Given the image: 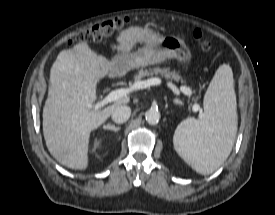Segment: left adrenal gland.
I'll return each mask as SVG.
<instances>
[{"instance_id": "obj_1", "label": "left adrenal gland", "mask_w": 275, "mask_h": 215, "mask_svg": "<svg viewBox=\"0 0 275 215\" xmlns=\"http://www.w3.org/2000/svg\"><path fill=\"white\" fill-rule=\"evenodd\" d=\"M173 102L176 105H182V102L180 100H178V99H175Z\"/></svg>"}]
</instances>
